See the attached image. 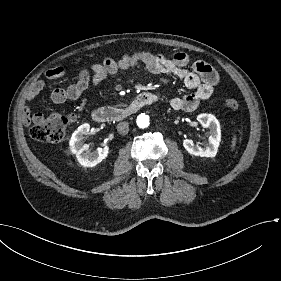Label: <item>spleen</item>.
Returning a JSON list of instances; mask_svg holds the SVG:
<instances>
[{"label":"spleen","instance_id":"3e777b00","mask_svg":"<svg viewBox=\"0 0 281 281\" xmlns=\"http://www.w3.org/2000/svg\"><path fill=\"white\" fill-rule=\"evenodd\" d=\"M235 145H236V137H233V139H232V145H231L232 150L234 149Z\"/></svg>","mask_w":281,"mask_h":281}]
</instances>
